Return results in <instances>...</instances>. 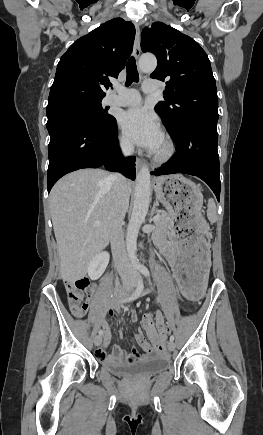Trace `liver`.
<instances>
[{"mask_svg": "<svg viewBox=\"0 0 263 435\" xmlns=\"http://www.w3.org/2000/svg\"><path fill=\"white\" fill-rule=\"evenodd\" d=\"M109 176L100 169L78 170L60 179L51 190L50 211L64 281L85 277L92 258L109 244ZM126 185L130 193L131 181L126 180Z\"/></svg>", "mask_w": 263, "mask_h": 435, "instance_id": "liver-1", "label": "liver"}]
</instances>
